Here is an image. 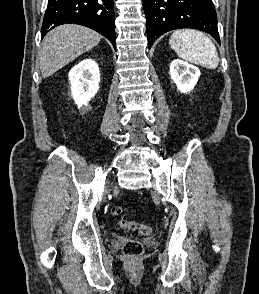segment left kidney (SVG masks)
<instances>
[{
  "mask_svg": "<svg viewBox=\"0 0 259 294\" xmlns=\"http://www.w3.org/2000/svg\"><path fill=\"white\" fill-rule=\"evenodd\" d=\"M170 77L181 93H187L195 87L200 70L183 60L174 59L170 64Z\"/></svg>",
  "mask_w": 259,
  "mask_h": 294,
  "instance_id": "1",
  "label": "left kidney"
}]
</instances>
